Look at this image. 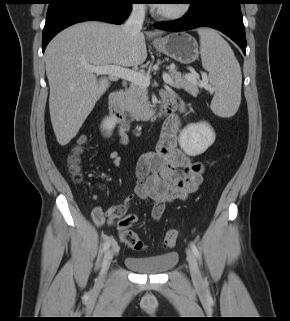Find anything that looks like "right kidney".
<instances>
[{
    "label": "right kidney",
    "instance_id": "1",
    "mask_svg": "<svg viewBox=\"0 0 290 321\" xmlns=\"http://www.w3.org/2000/svg\"><path fill=\"white\" fill-rule=\"evenodd\" d=\"M116 120L113 117H107L104 119L101 128L102 131H105L106 136H110L112 130L115 128Z\"/></svg>",
    "mask_w": 290,
    "mask_h": 321
}]
</instances>
